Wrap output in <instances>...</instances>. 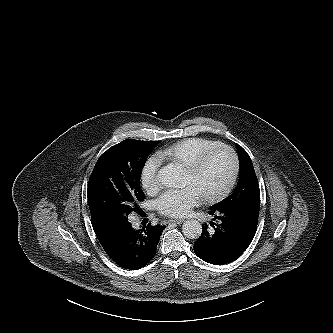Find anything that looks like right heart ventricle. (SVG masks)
Returning <instances> with one entry per match:
<instances>
[{"mask_svg":"<svg viewBox=\"0 0 333 333\" xmlns=\"http://www.w3.org/2000/svg\"><path fill=\"white\" fill-rule=\"evenodd\" d=\"M220 143L217 140L204 137L185 138L164 148L159 155L166 160L186 166L202 151Z\"/></svg>","mask_w":333,"mask_h":333,"instance_id":"right-heart-ventricle-1","label":"right heart ventricle"}]
</instances>
